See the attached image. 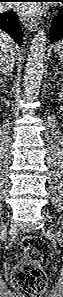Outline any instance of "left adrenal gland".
<instances>
[{"instance_id":"obj_1","label":"left adrenal gland","mask_w":63,"mask_h":297,"mask_svg":"<svg viewBox=\"0 0 63 297\" xmlns=\"http://www.w3.org/2000/svg\"><path fill=\"white\" fill-rule=\"evenodd\" d=\"M59 74H62V72L60 71L59 67L56 66L55 67V74H54V78H56Z\"/></svg>"}]
</instances>
